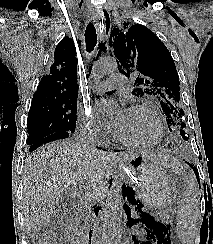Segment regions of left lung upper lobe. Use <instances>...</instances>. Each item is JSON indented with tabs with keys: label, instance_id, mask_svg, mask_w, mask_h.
I'll list each match as a JSON object with an SVG mask.
<instances>
[{
	"label": "left lung upper lobe",
	"instance_id": "obj_1",
	"mask_svg": "<svg viewBox=\"0 0 213 244\" xmlns=\"http://www.w3.org/2000/svg\"><path fill=\"white\" fill-rule=\"evenodd\" d=\"M113 33L109 44L114 48L119 71L134 79L133 95L154 97L169 130L188 140L185 113L179 103V76L167 47L143 25L115 29Z\"/></svg>",
	"mask_w": 213,
	"mask_h": 244
}]
</instances>
